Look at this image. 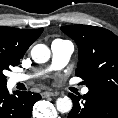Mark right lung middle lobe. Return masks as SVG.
I'll list each match as a JSON object with an SVG mask.
<instances>
[{
    "label": "right lung middle lobe",
    "mask_w": 118,
    "mask_h": 118,
    "mask_svg": "<svg viewBox=\"0 0 118 118\" xmlns=\"http://www.w3.org/2000/svg\"><path fill=\"white\" fill-rule=\"evenodd\" d=\"M20 62L19 59L12 57L6 51L0 49V88L6 86V76L3 74L5 70H10L11 66H16Z\"/></svg>",
    "instance_id": "dd1d6c3e"
}]
</instances>
